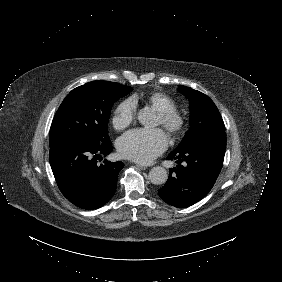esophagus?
Returning a JSON list of instances; mask_svg holds the SVG:
<instances>
[{"label":"esophagus","mask_w":282,"mask_h":282,"mask_svg":"<svg viewBox=\"0 0 282 282\" xmlns=\"http://www.w3.org/2000/svg\"><path fill=\"white\" fill-rule=\"evenodd\" d=\"M136 166H137L138 169H141V170L147 169V166H144V165H141V164H136Z\"/></svg>","instance_id":"esophagus-1"}]
</instances>
